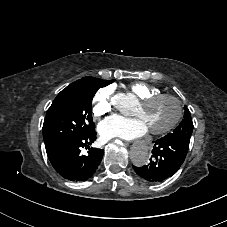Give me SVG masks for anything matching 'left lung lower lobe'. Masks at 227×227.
I'll return each instance as SVG.
<instances>
[{"label":"left lung lower lobe","instance_id":"obj_1","mask_svg":"<svg viewBox=\"0 0 227 227\" xmlns=\"http://www.w3.org/2000/svg\"><path fill=\"white\" fill-rule=\"evenodd\" d=\"M189 140L163 137L155 141L150 164L133 166L135 172L147 181L161 182L180 168L189 149Z\"/></svg>","mask_w":227,"mask_h":227}]
</instances>
